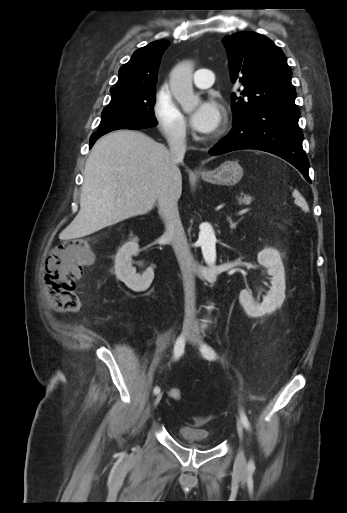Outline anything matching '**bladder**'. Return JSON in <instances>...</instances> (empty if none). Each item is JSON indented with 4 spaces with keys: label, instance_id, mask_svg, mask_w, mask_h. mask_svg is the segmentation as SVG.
Listing matches in <instances>:
<instances>
[{
    "label": "bladder",
    "instance_id": "31cf9c89",
    "mask_svg": "<svg viewBox=\"0 0 347 513\" xmlns=\"http://www.w3.org/2000/svg\"><path fill=\"white\" fill-rule=\"evenodd\" d=\"M179 436L185 445L201 450H212L218 445V442L211 438L210 432L205 428L191 425L182 426L179 429Z\"/></svg>",
    "mask_w": 347,
    "mask_h": 513
}]
</instances>
